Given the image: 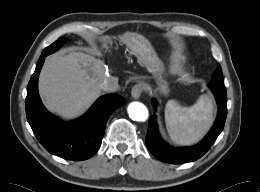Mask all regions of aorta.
<instances>
[{"instance_id": "obj_1", "label": "aorta", "mask_w": 260, "mask_h": 192, "mask_svg": "<svg viewBox=\"0 0 260 192\" xmlns=\"http://www.w3.org/2000/svg\"><path fill=\"white\" fill-rule=\"evenodd\" d=\"M129 117L134 121H145L148 118V110L143 103L132 102L127 108Z\"/></svg>"}]
</instances>
